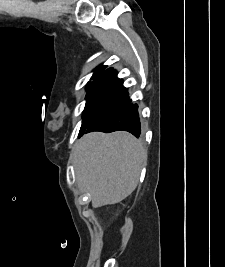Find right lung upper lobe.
<instances>
[{
	"label": "right lung upper lobe",
	"mask_w": 225,
	"mask_h": 267,
	"mask_svg": "<svg viewBox=\"0 0 225 267\" xmlns=\"http://www.w3.org/2000/svg\"><path fill=\"white\" fill-rule=\"evenodd\" d=\"M107 66H99L96 71L94 72L92 79H94L93 81L97 80L101 74L105 71Z\"/></svg>",
	"instance_id": "1"
}]
</instances>
